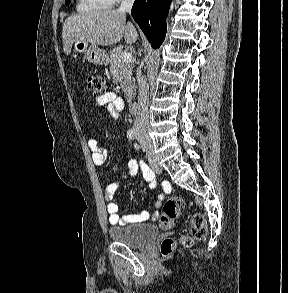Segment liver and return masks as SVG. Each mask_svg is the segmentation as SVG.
<instances>
[{
    "instance_id": "liver-1",
    "label": "liver",
    "mask_w": 288,
    "mask_h": 293,
    "mask_svg": "<svg viewBox=\"0 0 288 293\" xmlns=\"http://www.w3.org/2000/svg\"><path fill=\"white\" fill-rule=\"evenodd\" d=\"M124 38L133 44L138 33L131 22L126 23V14L116 10L93 11L68 17L62 29L63 50L71 53L77 40L86 41L94 46H108Z\"/></svg>"
}]
</instances>
